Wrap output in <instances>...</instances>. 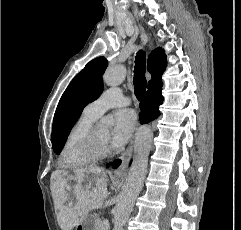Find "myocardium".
I'll return each instance as SVG.
<instances>
[{
  "label": "myocardium",
  "mask_w": 241,
  "mask_h": 230,
  "mask_svg": "<svg viewBox=\"0 0 241 230\" xmlns=\"http://www.w3.org/2000/svg\"><path fill=\"white\" fill-rule=\"evenodd\" d=\"M95 131L96 126L92 125L81 141V152L91 161L105 159L111 154V150L108 147H102L98 144Z\"/></svg>",
  "instance_id": "myocardium-1"
}]
</instances>
